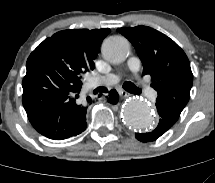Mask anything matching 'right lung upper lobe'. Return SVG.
Segmentation results:
<instances>
[{
    "label": "right lung upper lobe",
    "instance_id": "1",
    "mask_svg": "<svg viewBox=\"0 0 215 183\" xmlns=\"http://www.w3.org/2000/svg\"><path fill=\"white\" fill-rule=\"evenodd\" d=\"M109 32L108 28L60 31L45 39L31 54L38 56L49 70L64 69L66 55L80 58L87 68L93 70L100 44Z\"/></svg>",
    "mask_w": 215,
    "mask_h": 183
}]
</instances>
